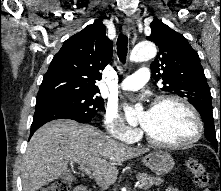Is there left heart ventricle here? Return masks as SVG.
I'll use <instances>...</instances> for the list:
<instances>
[{
    "mask_svg": "<svg viewBox=\"0 0 221 191\" xmlns=\"http://www.w3.org/2000/svg\"><path fill=\"white\" fill-rule=\"evenodd\" d=\"M140 124L153 138L170 143L186 141L196 131L190 112L175 101H165L143 113Z\"/></svg>",
    "mask_w": 221,
    "mask_h": 191,
    "instance_id": "b2bd125f",
    "label": "left heart ventricle"
}]
</instances>
